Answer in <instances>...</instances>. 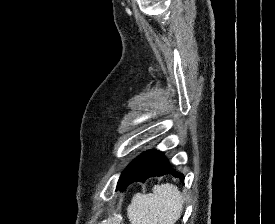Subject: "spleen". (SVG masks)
I'll return each instance as SVG.
<instances>
[{"mask_svg": "<svg viewBox=\"0 0 275 224\" xmlns=\"http://www.w3.org/2000/svg\"><path fill=\"white\" fill-rule=\"evenodd\" d=\"M183 198L170 183L155 185L152 193H136L127 208L130 224H175L181 216Z\"/></svg>", "mask_w": 275, "mask_h": 224, "instance_id": "spleen-1", "label": "spleen"}]
</instances>
